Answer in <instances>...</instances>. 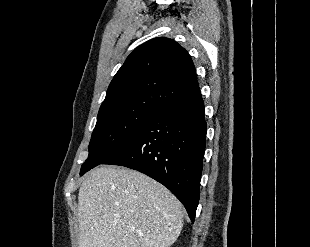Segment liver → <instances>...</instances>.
I'll return each instance as SVG.
<instances>
[{"label": "liver", "mask_w": 310, "mask_h": 247, "mask_svg": "<svg viewBox=\"0 0 310 247\" xmlns=\"http://www.w3.org/2000/svg\"><path fill=\"white\" fill-rule=\"evenodd\" d=\"M78 222V247H170L183 226L182 204L141 172L102 166L79 189Z\"/></svg>", "instance_id": "1"}]
</instances>
